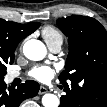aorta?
Returning <instances> with one entry per match:
<instances>
[{"label":"aorta","instance_id":"aorta-1","mask_svg":"<svg viewBox=\"0 0 107 107\" xmlns=\"http://www.w3.org/2000/svg\"><path fill=\"white\" fill-rule=\"evenodd\" d=\"M23 53L29 60L39 61L46 56L47 50L41 41L31 39L25 42L23 46ZM42 104L44 107H58L59 99L54 94H45L42 97Z\"/></svg>","mask_w":107,"mask_h":107}]
</instances>
